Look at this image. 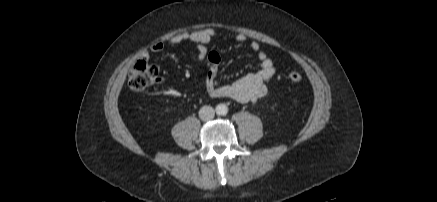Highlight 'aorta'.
Instances as JSON below:
<instances>
[{
	"label": "aorta",
	"instance_id": "1",
	"mask_svg": "<svg viewBox=\"0 0 437 202\" xmlns=\"http://www.w3.org/2000/svg\"><path fill=\"white\" fill-rule=\"evenodd\" d=\"M215 110L218 115H226L228 113V107L225 104H218Z\"/></svg>",
	"mask_w": 437,
	"mask_h": 202
}]
</instances>
